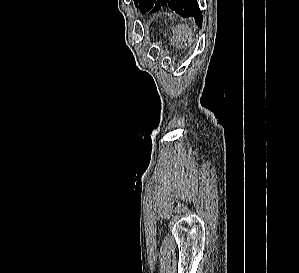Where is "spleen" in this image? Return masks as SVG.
I'll return each mask as SVG.
<instances>
[{
  "instance_id": "3e777b00",
  "label": "spleen",
  "mask_w": 299,
  "mask_h": 273,
  "mask_svg": "<svg viewBox=\"0 0 299 273\" xmlns=\"http://www.w3.org/2000/svg\"><path fill=\"white\" fill-rule=\"evenodd\" d=\"M173 46L176 48H183L184 45L191 46L193 42V32L191 28L186 25H177L173 29Z\"/></svg>"
}]
</instances>
